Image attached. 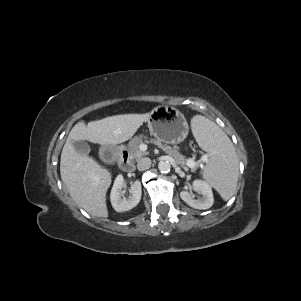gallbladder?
Segmentation results:
<instances>
[{
	"mask_svg": "<svg viewBox=\"0 0 301 301\" xmlns=\"http://www.w3.org/2000/svg\"><path fill=\"white\" fill-rule=\"evenodd\" d=\"M74 149L77 153L87 156L90 153V146L84 141H74Z\"/></svg>",
	"mask_w": 301,
	"mask_h": 301,
	"instance_id": "gallbladder-1",
	"label": "gallbladder"
}]
</instances>
